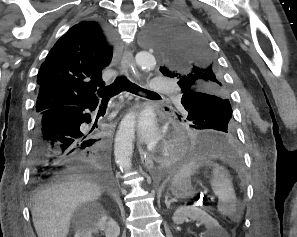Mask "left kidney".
I'll use <instances>...</instances> for the list:
<instances>
[{
  "label": "left kidney",
  "mask_w": 297,
  "mask_h": 237,
  "mask_svg": "<svg viewBox=\"0 0 297 237\" xmlns=\"http://www.w3.org/2000/svg\"><path fill=\"white\" fill-rule=\"evenodd\" d=\"M188 218L195 219L205 225L204 237H223V229L217 220L195 205L177 208L172 219L175 224L180 225Z\"/></svg>",
  "instance_id": "1"
}]
</instances>
